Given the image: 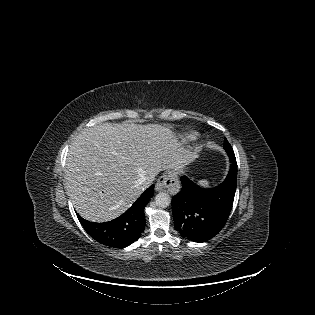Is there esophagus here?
Returning a JSON list of instances; mask_svg holds the SVG:
<instances>
[{
    "label": "esophagus",
    "mask_w": 315,
    "mask_h": 315,
    "mask_svg": "<svg viewBox=\"0 0 315 315\" xmlns=\"http://www.w3.org/2000/svg\"><path fill=\"white\" fill-rule=\"evenodd\" d=\"M156 191H166L175 194L180 189V184L177 176L173 172L163 174L157 181L155 186Z\"/></svg>",
    "instance_id": "obj_1"
}]
</instances>
